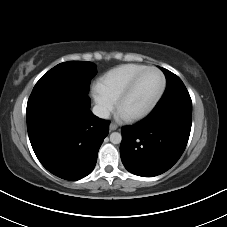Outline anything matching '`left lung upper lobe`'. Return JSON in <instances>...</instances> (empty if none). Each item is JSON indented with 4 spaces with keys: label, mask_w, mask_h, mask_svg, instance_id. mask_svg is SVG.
Returning <instances> with one entry per match:
<instances>
[{
    "label": "left lung upper lobe",
    "mask_w": 227,
    "mask_h": 227,
    "mask_svg": "<svg viewBox=\"0 0 227 227\" xmlns=\"http://www.w3.org/2000/svg\"><path fill=\"white\" fill-rule=\"evenodd\" d=\"M160 69L163 71L167 79V87L156 107L168 104H183L192 106L190 95L181 79L167 69L162 67Z\"/></svg>",
    "instance_id": "5c2ea615"
}]
</instances>
